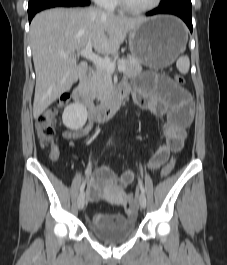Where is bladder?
<instances>
[{
  "label": "bladder",
  "mask_w": 227,
  "mask_h": 265,
  "mask_svg": "<svg viewBox=\"0 0 227 265\" xmlns=\"http://www.w3.org/2000/svg\"><path fill=\"white\" fill-rule=\"evenodd\" d=\"M89 231L105 243H119L130 238L136 229L134 218H125L118 224L99 225L93 222L88 224Z\"/></svg>",
  "instance_id": "bladder-1"
}]
</instances>
